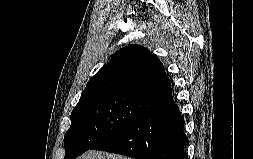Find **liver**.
I'll list each match as a JSON object with an SVG mask.
<instances>
[{"label":"liver","mask_w":253,"mask_h":159,"mask_svg":"<svg viewBox=\"0 0 253 159\" xmlns=\"http://www.w3.org/2000/svg\"><path fill=\"white\" fill-rule=\"evenodd\" d=\"M78 159H131V158L116 154L105 153L101 151L89 150L82 156H80Z\"/></svg>","instance_id":"liver-1"}]
</instances>
